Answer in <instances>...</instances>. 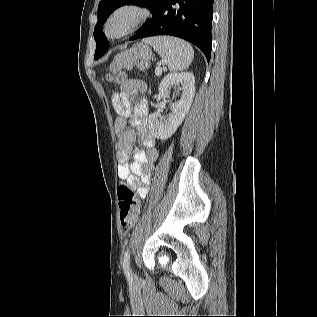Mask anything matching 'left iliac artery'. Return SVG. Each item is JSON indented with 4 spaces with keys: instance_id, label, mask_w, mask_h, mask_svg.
<instances>
[{
    "instance_id": "44dca946",
    "label": "left iliac artery",
    "mask_w": 317,
    "mask_h": 317,
    "mask_svg": "<svg viewBox=\"0 0 317 317\" xmlns=\"http://www.w3.org/2000/svg\"><path fill=\"white\" fill-rule=\"evenodd\" d=\"M129 260H130V252H129V249L127 248V250L125 251V254H124L122 266H123V269H124L126 276H128V277H130V275H131V272L129 270Z\"/></svg>"
}]
</instances>
